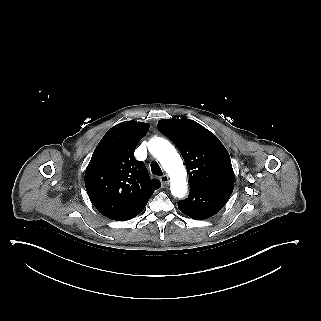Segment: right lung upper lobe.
<instances>
[{
    "label": "right lung upper lobe",
    "instance_id": "obj_1",
    "mask_svg": "<svg viewBox=\"0 0 321 321\" xmlns=\"http://www.w3.org/2000/svg\"><path fill=\"white\" fill-rule=\"evenodd\" d=\"M149 125L125 121L112 127L95 148L85 172V186L97 210L120 220L144 206L161 184L150 179L134 150Z\"/></svg>",
    "mask_w": 321,
    "mask_h": 321
}]
</instances>
